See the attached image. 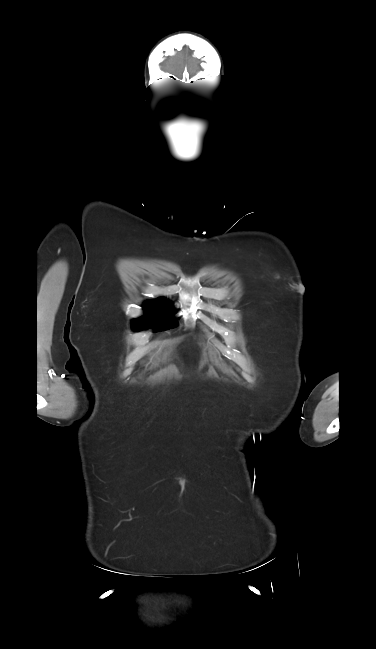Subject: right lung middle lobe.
<instances>
[{"label": "right lung middle lobe", "instance_id": "dd1d6c3e", "mask_svg": "<svg viewBox=\"0 0 376 649\" xmlns=\"http://www.w3.org/2000/svg\"><path fill=\"white\" fill-rule=\"evenodd\" d=\"M144 309L146 311V315L144 317H141L140 319H135L132 321V327L136 331L163 324L166 319L170 318L172 306L168 301L161 298L158 301L145 302ZM176 325V322L172 321L168 325H163L161 328L157 329V331L167 330L169 328L175 327Z\"/></svg>", "mask_w": 376, "mask_h": 649}]
</instances>
